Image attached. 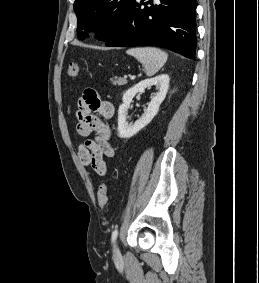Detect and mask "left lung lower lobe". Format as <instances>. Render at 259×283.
I'll use <instances>...</instances> for the list:
<instances>
[{
  "label": "left lung lower lobe",
  "instance_id": "left-lung-lower-lobe-1",
  "mask_svg": "<svg viewBox=\"0 0 259 283\" xmlns=\"http://www.w3.org/2000/svg\"><path fill=\"white\" fill-rule=\"evenodd\" d=\"M196 0H134L106 46H156L195 59Z\"/></svg>",
  "mask_w": 259,
  "mask_h": 283
}]
</instances>
